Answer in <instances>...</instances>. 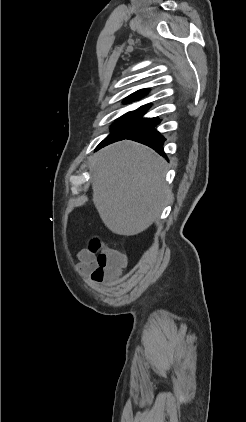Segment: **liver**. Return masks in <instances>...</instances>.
Masks as SVG:
<instances>
[{
  "label": "liver",
  "mask_w": 246,
  "mask_h": 422,
  "mask_svg": "<svg viewBox=\"0 0 246 422\" xmlns=\"http://www.w3.org/2000/svg\"><path fill=\"white\" fill-rule=\"evenodd\" d=\"M92 168L93 202L110 231L137 235L158 218L170 189L166 161L152 149L120 141L96 153Z\"/></svg>",
  "instance_id": "6515ba94"
}]
</instances>
